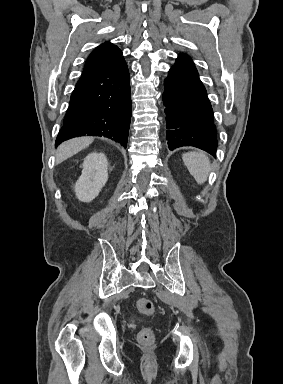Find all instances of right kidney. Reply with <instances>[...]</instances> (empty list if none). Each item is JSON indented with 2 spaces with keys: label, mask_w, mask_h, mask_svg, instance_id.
<instances>
[{
  "label": "right kidney",
  "mask_w": 283,
  "mask_h": 384,
  "mask_svg": "<svg viewBox=\"0 0 283 384\" xmlns=\"http://www.w3.org/2000/svg\"><path fill=\"white\" fill-rule=\"evenodd\" d=\"M82 174L74 188L80 202H91L108 180V162L104 154H88L82 164Z\"/></svg>",
  "instance_id": "1"
}]
</instances>
